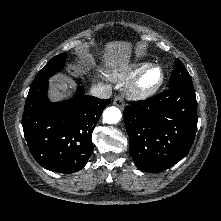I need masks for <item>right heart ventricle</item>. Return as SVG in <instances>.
<instances>
[{
	"label": "right heart ventricle",
	"mask_w": 221,
	"mask_h": 221,
	"mask_svg": "<svg viewBox=\"0 0 221 221\" xmlns=\"http://www.w3.org/2000/svg\"><path fill=\"white\" fill-rule=\"evenodd\" d=\"M147 63H137L130 68L113 71L109 78L114 82H126L131 80L140 70L148 66Z\"/></svg>",
	"instance_id": "1"
}]
</instances>
